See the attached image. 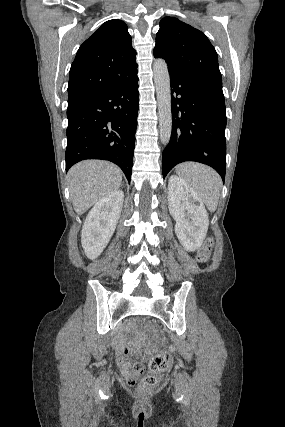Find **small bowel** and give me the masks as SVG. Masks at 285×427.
<instances>
[{"label":"small bowel","mask_w":285,"mask_h":427,"mask_svg":"<svg viewBox=\"0 0 285 427\" xmlns=\"http://www.w3.org/2000/svg\"><path fill=\"white\" fill-rule=\"evenodd\" d=\"M125 341L121 340L120 344L118 346V351L120 352L122 348L124 347ZM119 363L124 367L126 373L130 374L132 371H134V368L131 366V363L129 359L125 356H119Z\"/></svg>","instance_id":"obj_1"}]
</instances>
